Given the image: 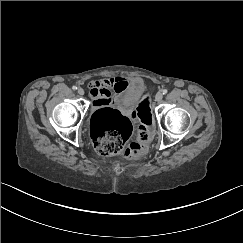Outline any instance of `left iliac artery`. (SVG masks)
<instances>
[{"instance_id": "44dca946", "label": "left iliac artery", "mask_w": 243, "mask_h": 243, "mask_svg": "<svg viewBox=\"0 0 243 243\" xmlns=\"http://www.w3.org/2000/svg\"><path fill=\"white\" fill-rule=\"evenodd\" d=\"M162 93H163V94H166V93H167V89H163V90H162Z\"/></svg>"}]
</instances>
